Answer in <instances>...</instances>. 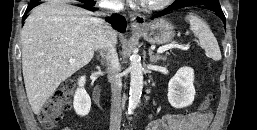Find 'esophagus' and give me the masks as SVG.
I'll return each instance as SVG.
<instances>
[{
    "mask_svg": "<svg viewBox=\"0 0 257 130\" xmlns=\"http://www.w3.org/2000/svg\"><path fill=\"white\" fill-rule=\"evenodd\" d=\"M130 25L132 29H139L145 25V16L141 14L130 15Z\"/></svg>",
    "mask_w": 257,
    "mask_h": 130,
    "instance_id": "34e87169",
    "label": "esophagus"
}]
</instances>
